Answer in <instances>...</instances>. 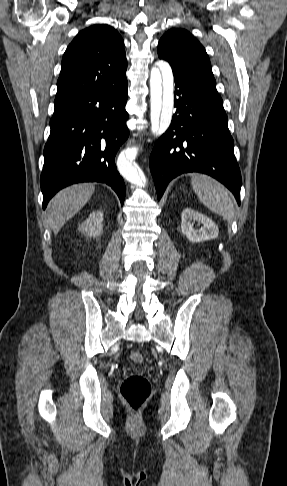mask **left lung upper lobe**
I'll list each match as a JSON object with an SVG mask.
<instances>
[{
	"label": "left lung upper lobe",
	"mask_w": 287,
	"mask_h": 486,
	"mask_svg": "<svg viewBox=\"0 0 287 486\" xmlns=\"http://www.w3.org/2000/svg\"><path fill=\"white\" fill-rule=\"evenodd\" d=\"M158 57L169 62L173 73L186 77L215 98L216 90L209 57L200 42L184 29H171L159 41Z\"/></svg>",
	"instance_id": "5c2ea615"
}]
</instances>
